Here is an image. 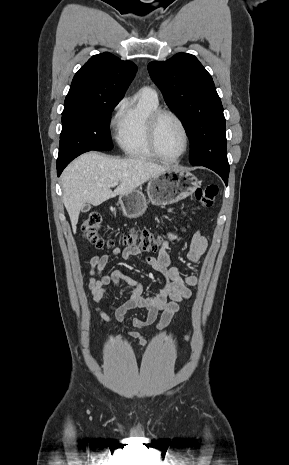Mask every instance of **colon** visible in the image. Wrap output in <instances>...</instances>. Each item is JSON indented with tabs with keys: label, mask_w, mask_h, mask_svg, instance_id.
<instances>
[{
	"label": "colon",
	"mask_w": 289,
	"mask_h": 465,
	"mask_svg": "<svg viewBox=\"0 0 289 465\" xmlns=\"http://www.w3.org/2000/svg\"><path fill=\"white\" fill-rule=\"evenodd\" d=\"M218 194V187L214 184L199 188L195 191L193 199L198 201L203 208L212 207ZM102 217L99 213H91L82 225L84 239L97 249L105 246L113 247L114 243L105 241L100 234ZM167 236L157 234L148 229H132L122 239L127 247L136 248L141 252H154L165 241ZM189 335L186 336V340Z\"/></svg>",
	"instance_id": "obj_1"
}]
</instances>
